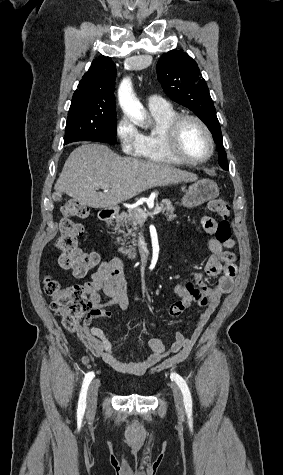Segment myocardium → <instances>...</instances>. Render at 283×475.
Wrapping results in <instances>:
<instances>
[{
    "label": "myocardium",
    "mask_w": 283,
    "mask_h": 475,
    "mask_svg": "<svg viewBox=\"0 0 283 475\" xmlns=\"http://www.w3.org/2000/svg\"><path fill=\"white\" fill-rule=\"evenodd\" d=\"M187 120H192L196 122L203 129L209 143V150L204 156L199 158L171 157L166 151V144L177 143L180 128L182 124ZM157 149L159 155L163 158L164 162H206L214 155L215 142L212 132L200 117L191 114H178L173 119H171L164 128V131L158 141Z\"/></svg>",
    "instance_id": "obj_1"
}]
</instances>
